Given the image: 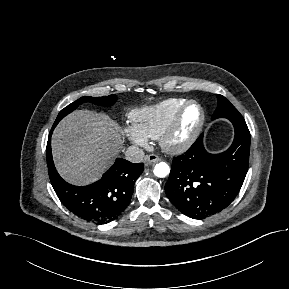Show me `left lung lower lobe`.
Segmentation results:
<instances>
[{
    "label": "left lung lower lobe",
    "mask_w": 289,
    "mask_h": 289,
    "mask_svg": "<svg viewBox=\"0 0 289 289\" xmlns=\"http://www.w3.org/2000/svg\"><path fill=\"white\" fill-rule=\"evenodd\" d=\"M235 137L225 152L210 154L203 146V134L178 157L173 158L165 192L184 215L204 219L227 207L245 179L250 150L246 122H232Z\"/></svg>",
    "instance_id": "0a47b994"
}]
</instances>
